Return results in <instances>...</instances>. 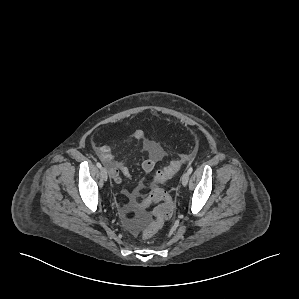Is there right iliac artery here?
I'll list each match as a JSON object with an SVG mask.
<instances>
[{
    "mask_svg": "<svg viewBox=\"0 0 299 299\" xmlns=\"http://www.w3.org/2000/svg\"><path fill=\"white\" fill-rule=\"evenodd\" d=\"M96 165H97L98 168L102 167V165L99 162H97Z\"/></svg>",
    "mask_w": 299,
    "mask_h": 299,
    "instance_id": "obj_1",
    "label": "right iliac artery"
}]
</instances>
